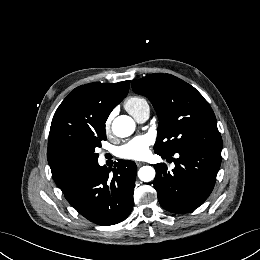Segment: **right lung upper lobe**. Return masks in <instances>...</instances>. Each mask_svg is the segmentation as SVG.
<instances>
[{
    "label": "right lung upper lobe",
    "mask_w": 260,
    "mask_h": 260,
    "mask_svg": "<svg viewBox=\"0 0 260 260\" xmlns=\"http://www.w3.org/2000/svg\"><path fill=\"white\" fill-rule=\"evenodd\" d=\"M129 85L130 81L79 86L56 110L47 159L53 179L63 193L86 170L82 159L85 140L105 126L110 112L128 94Z\"/></svg>",
    "instance_id": "right-lung-upper-lobe-1"
}]
</instances>
